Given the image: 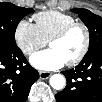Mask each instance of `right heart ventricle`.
I'll return each instance as SVG.
<instances>
[{
	"label": "right heart ventricle",
	"mask_w": 102,
	"mask_h": 102,
	"mask_svg": "<svg viewBox=\"0 0 102 102\" xmlns=\"http://www.w3.org/2000/svg\"><path fill=\"white\" fill-rule=\"evenodd\" d=\"M33 19L40 35L46 42L60 30L77 21L71 14L56 10L37 13Z\"/></svg>",
	"instance_id": "right-heart-ventricle-1"
}]
</instances>
